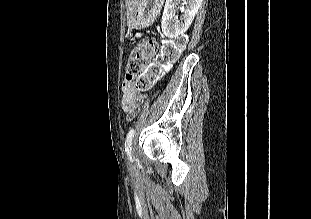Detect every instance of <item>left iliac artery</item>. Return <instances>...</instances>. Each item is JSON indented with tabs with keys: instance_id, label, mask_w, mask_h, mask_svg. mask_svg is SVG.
<instances>
[{
	"instance_id": "left-iliac-artery-1",
	"label": "left iliac artery",
	"mask_w": 311,
	"mask_h": 219,
	"mask_svg": "<svg viewBox=\"0 0 311 219\" xmlns=\"http://www.w3.org/2000/svg\"><path fill=\"white\" fill-rule=\"evenodd\" d=\"M134 137V129H130L129 132L127 133L126 136V141H125V151L129 157L130 160H132L131 157V143H132V139Z\"/></svg>"
}]
</instances>
